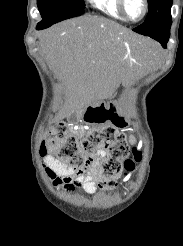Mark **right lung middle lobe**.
I'll use <instances>...</instances> for the list:
<instances>
[{"mask_svg":"<svg viewBox=\"0 0 183 246\" xmlns=\"http://www.w3.org/2000/svg\"><path fill=\"white\" fill-rule=\"evenodd\" d=\"M42 16L39 24L49 25L84 13V0H37Z\"/></svg>","mask_w":183,"mask_h":246,"instance_id":"1","label":"right lung middle lobe"}]
</instances>
